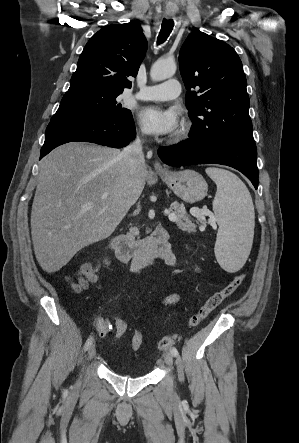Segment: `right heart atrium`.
Instances as JSON below:
<instances>
[{
    "label": "right heart atrium",
    "mask_w": 299,
    "mask_h": 443,
    "mask_svg": "<svg viewBox=\"0 0 299 443\" xmlns=\"http://www.w3.org/2000/svg\"><path fill=\"white\" fill-rule=\"evenodd\" d=\"M139 135H140L141 137H144V136L146 135V132H145L144 130H141V131L139 132Z\"/></svg>",
    "instance_id": "right-heart-atrium-1"
}]
</instances>
